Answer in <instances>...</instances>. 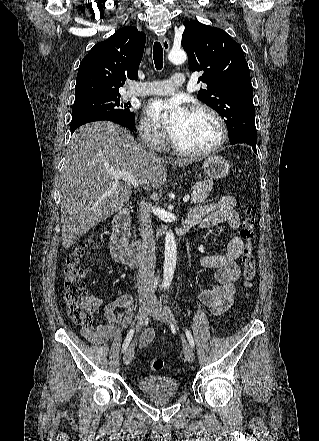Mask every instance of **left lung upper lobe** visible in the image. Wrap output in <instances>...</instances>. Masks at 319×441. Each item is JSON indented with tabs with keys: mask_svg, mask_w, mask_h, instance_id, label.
I'll use <instances>...</instances> for the list:
<instances>
[{
	"mask_svg": "<svg viewBox=\"0 0 319 441\" xmlns=\"http://www.w3.org/2000/svg\"><path fill=\"white\" fill-rule=\"evenodd\" d=\"M182 47L191 71H202L207 84L198 99L225 119L229 140H257L250 72L241 46L224 30L191 20L184 22Z\"/></svg>",
	"mask_w": 319,
	"mask_h": 441,
	"instance_id": "obj_1",
	"label": "left lung upper lobe"
}]
</instances>
